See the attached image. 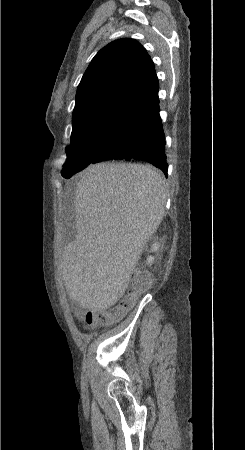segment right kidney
<instances>
[{
  "mask_svg": "<svg viewBox=\"0 0 245 450\" xmlns=\"http://www.w3.org/2000/svg\"><path fill=\"white\" fill-rule=\"evenodd\" d=\"M159 249V244L158 243H154L151 247V251H157ZM154 262V257L149 256L147 258V264L151 265Z\"/></svg>",
  "mask_w": 245,
  "mask_h": 450,
  "instance_id": "obj_1",
  "label": "right kidney"
}]
</instances>
